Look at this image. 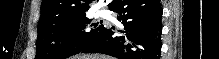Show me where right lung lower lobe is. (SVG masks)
<instances>
[{"label": "right lung lower lobe", "mask_w": 219, "mask_h": 59, "mask_svg": "<svg viewBox=\"0 0 219 59\" xmlns=\"http://www.w3.org/2000/svg\"><path fill=\"white\" fill-rule=\"evenodd\" d=\"M121 30L105 28L81 52H98L118 59H159L162 31L160 0H114Z\"/></svg>", "instance_id": "right-lung-lower-lobe-1"}]
</instances>
